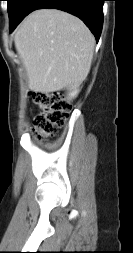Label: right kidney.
Returning a JSON list of instances; mask_svg holds the SVG:
<instances>
[{"label": "right kidney", "mask_w": 133, "mask_h": 253, "mask_svg": "<svg viewBox=\"0 0 133 253\" xmlns=\"http://www.w3.org/2000/svg\"><path fill=\"white\" fill-rule=\"evenodd\" d=\"M79 93V89L76 87L72 88V91L68 94V99L71 100L72 98L76 97L77 94Z\"/></svg>", "instance_id": "right-kidney-1"}]
</instances>
